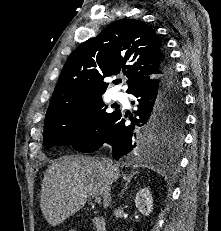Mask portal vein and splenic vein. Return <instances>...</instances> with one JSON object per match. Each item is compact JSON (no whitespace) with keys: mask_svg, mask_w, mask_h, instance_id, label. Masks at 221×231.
<instances>
[{"mask_svg":"<svg viewBox=\"0 0 221 231\" xmlns=\"http://www.w3.org/2000/svg\"><path fill=\"white\" fill-rule=\"evenodd\" d=\"M94 201H95L96 203L100 204V203H101V198L96 196V197L94 198Z\"/></svg>","mask_w":221,"mask_h":231,"instance_id":"obj_1","label":"portal vein and splenic vein"}]
</instances>
